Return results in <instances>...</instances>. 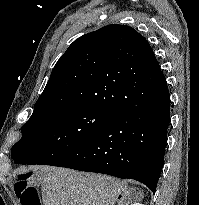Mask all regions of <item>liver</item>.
<instances>
[{
	"label": "liver",
	"mask_w": 199,
	"mask_h": 205,
	"mask_svg": "<svg viewBox=\"0 0 199 205\" xmlns=\"http://www.w3.org/2000/svg\"><path fill=\"white\" fill-rule=\"evenodd\" d=\"M37 170L44 205H115L119 196L125 204L139 200L117 178L51 166Z\"/></svg>",
	"instance_id": "6515ba94"
}]
</instances>
